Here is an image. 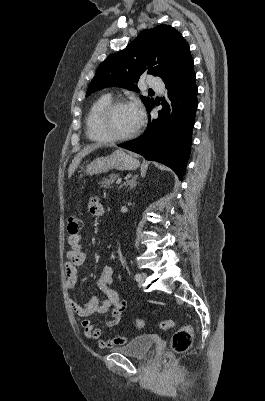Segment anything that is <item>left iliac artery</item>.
<instances>
[{
  "label": "left iliac artery",
  "instance_id": "1",
  "mask_svg": "<svg viewBox=\"0 0 265 401\" xmlns=\"http://www.w3.org/2000/svg\"><path fill=\"white\" fill-rule=\"evenodd\" d=\"M137 275H138V274H136V275H135V279H136V281L138 280V279H137Z\"/></svg>",
  "mask_w": 265,
  "mask_h": 401
}]
</instances>
